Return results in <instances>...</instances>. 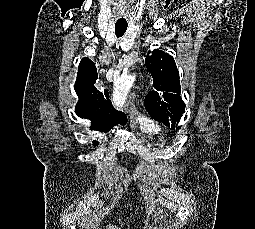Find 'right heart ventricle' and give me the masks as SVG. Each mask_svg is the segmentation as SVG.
Returning a JSON list of instances; mask_svg holds the SVG:
<instances>
[{
  "label": "right heart ventricle",
  "instance_id": "obj_1",
  "mask_svg": "<svg viewBox=\"0 0 255 229\" xmlns=\"http://www.w3.org/2000/svg\"><path fill=\"white\" fill-rule=\"evenodd\" d=\"M142 128L147 133H154L156 130V126L150 121H148V126L142 123Z\"/></svg>",
  "mask_w": 255,
  "mask_h": 229
}]
</instances>
